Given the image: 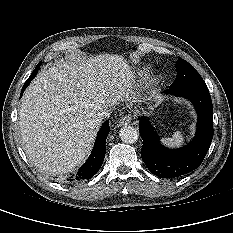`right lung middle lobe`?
Here are the masks:
<instances>
[{
    "mask_svg": "<svg viewBox=\"0 0 233 233\" xmlns=\"http://www.w3.org/2000/svg\"><path fill=\"white\" fill-rule=\"evenodd\" d=\"M40 66H41V63H38V65L36 66V68H38V69H39V68H40Z\"/></svg>",
    "mask_w": 233,
    "mask_h": 233,
    "instance_id": "right-lung-middle-lobe-1",
    "label": "right lung middle lobe"
}]
</instances>
